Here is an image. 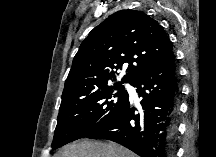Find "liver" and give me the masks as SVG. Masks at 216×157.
Listing matches in <instances>:
<instances>
[{
    "label": "liver",
    "instance_id": "obj_1",
    "mask_svg": "<svg viewBox=\"0 0 216 157\" xmlns=\"http://www.w3.org/2000/svg\"><path fill=\"white\" fill-rule=\"evenodd\" d=\"M55 157H136L114 142L83 141L66 145Z\"/></svg>",
    "mask_w": 216,
    "mask_h": 157
}]
</instances>
